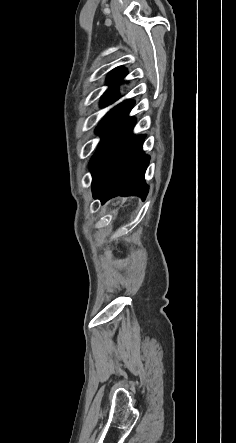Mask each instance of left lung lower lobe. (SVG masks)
<instances>
[{"mask_svg":"<svg viewBox=\"0 0 236 443\" xmlns=\"http://www.w3.org/2000/svg\"><path fill=\"white\" fill-rule=\"evenodd\" d=\"M134 104H118L95 130L102 139L90 161L92 192L102 204L118 195L145 199L148 193L144 175L150 158L142 151L145 135L132 134L136 120L128 117Z\"/></svg>","mask_w":236,"mask_h":443,"instance_id":"0a47b994","label":"left lung lower lobe"}]
</instances>
